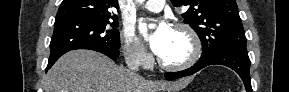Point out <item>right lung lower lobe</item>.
<instances>
[{
	"label": "right lung lower lobe",
	"mask_w": 289,
	"mask_h": 92,
	"mask_svg": "<svg viewBox=\"0 0 289 92\" xmlns=\"http://www.w3.org/2000/svg\"><path fill=\"white\" fill-rule=\"evenodd\" d=\"M80 49H89V50H94V51H98L100 53H103L105 54L106 56H108L109 58H111L112 60H115L119 57V50L118 49H111V48H108V47H103V46H87V47H83V48H80ZM66 53V52H65ZM64 54V53H63ZM63 54H60L56 57H53V58H49V61H48V65H47V68H46V72L48 71V69H50L53 64L63 55Z\"/></svg>",
	"instance_id": "98d812e1"
}]
</instances>
